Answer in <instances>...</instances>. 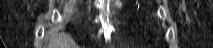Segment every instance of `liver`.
<instances>
[{"mask_svg":"<svg viewBox=\"0 0 213 48\" xmlns=\"http://www.w3.org/2000/svg\"><path fill=\"white\" fill-rule=\"evenodd\" d=\"M48 48H78V46L70 35L61 32L52 36Z\"/></svg>","mask_w":213,"mask_h":48,"instance_id":"1","label":"liver"}]
</instances>
